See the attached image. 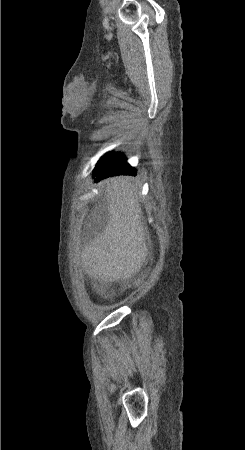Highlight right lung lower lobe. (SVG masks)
<instances>
[{
    "label": "right lung lower lobe",
    "mask_w": 245,
    "mask_h": 450,
    "mask_svg": "<svg viewBox=\"0 0 245 450\" xmlns=\"http://www.w3.org/2000/svg\"><path fill=\"white\" fill-rule=\"evenodd\" d=\"M136 175V169L126 162V157L121 153L107 154L103 160L96 166L93 177L97 176L96 181L114 175Z\"/></svg>",
    "instance_id": "right-lung-lower-lobe-1"
}]
</instances>
